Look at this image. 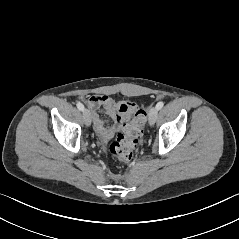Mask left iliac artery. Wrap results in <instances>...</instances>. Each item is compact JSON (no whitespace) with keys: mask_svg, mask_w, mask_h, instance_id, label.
<instances>
[{"mask_svg":"<svg viewBox=\"0 0 239 239\" xmlns=\"http://www.w3.org/2000/svg\"><path fill=\"white\" fill-rule=\"evenodd\" d=\"M164 106V102L160 101L157 103L156 108L160 110Z\"/></svg>","mask_w":239,"mask_h":239,"instance_id":"left-iliac-artery-1","label":"left iliac artery"}]
</instances>
